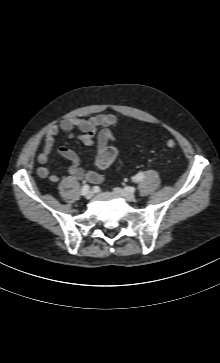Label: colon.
<instances>
[{
	"mask_svg": "<svg viewBox=\"0 0 220 363\" xmlns=\"http://www.w3.org/2000/svg\"><path fill=\"white\" fill-rule=\"evenodd\" d=\"M165 145L168 149H174L176 147V142L173 139L168 138L165 141ZM116 157H117V150L112 146H108L104 152L103 164L110 165L115 160Z\"/></svg>",
	"mask_w": 220,
	"mask_h": 363,
	"instance_id": "colon-1",
	"label": "colon"
}]
</instances>
